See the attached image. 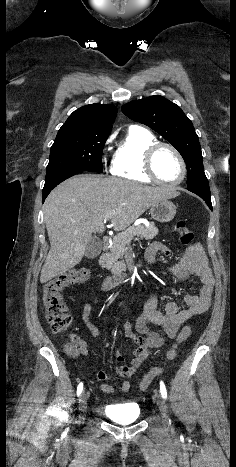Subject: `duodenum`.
Wrapping results in <instances>:
<instances>
[{
    "mask_svg": "<svg viewBox=\"0 0 236 467\" xmlns=\"http://www.w3.org/2000/svg\"><path fill=\"white\" fill-rule=\"evenodd\" d=\"M109 239L104 237L102 240V249L108 250ZM131 274L128 271L118 272L110 275L103 276L99 279V287L102 291L107 292L115 287L121 285L125 281L130 279Z\"/></svg>",
    "mask_w": 236,
    "mask_h": 467,
    "instance_id": "duodenum-1",
    "label": "duodenum"
}]
</instances>
